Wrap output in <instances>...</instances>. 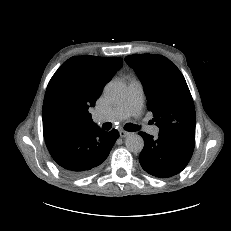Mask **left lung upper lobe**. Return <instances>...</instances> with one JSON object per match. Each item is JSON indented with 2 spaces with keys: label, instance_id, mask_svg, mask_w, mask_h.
I'll list each match as a JSON object with an SVG mask.
<instances>
[{
  "label": "left lung upper lobe",
  "instance_id": "obj_1",
  "mask_svg": "<svg viewBox=\"0 0 231 231\" xmlns=\"http://www.w3.org/2000/svg\"><path fill=\"white\" fill-rule=\"evenodd\" d=\"M125 61L142 82L159 133L195 139L194 103L180 70L157 54L130 55Z\"/></svg>",
  "mask_w": 231,
  "mask_h": 231
}]
</instances>
